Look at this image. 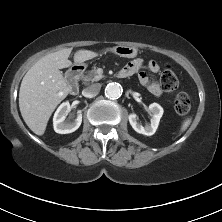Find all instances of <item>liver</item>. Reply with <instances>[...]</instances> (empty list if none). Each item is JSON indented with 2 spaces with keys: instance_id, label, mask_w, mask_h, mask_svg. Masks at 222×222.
<instances>
[{
  "instance_id": "liver-1",
  "label": "liver",
  "mask_w": 222,
  "mask_h": 222,
  "mask_svg": "<svg viewBox=\"0 0 222 222\" xmlns=\"http://www.w3.org/2000/svg\"><path fill=\"white\" fill-rule=\"evenodd\" d=\"M71 48L49 53L38 60L25 74L19 90V108L27 126L37 135H43L48 120L57 105L70 93L71 87L60 69L70 67ZM98 54L80 50L75 63L93 59Z\"/></svg>"
}]
</instances>
